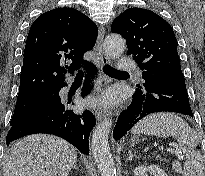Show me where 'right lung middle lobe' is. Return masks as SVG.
Segmentation results:
<instances>
[{"mask_svg": "<svg viewBox=\"0 0 205 176\" xmlns=\"http://www.w3.org/2000/svg\"><path fill=\"white\" fill-rule=\"evenodd\" d=\"M57 89L44 90L26 97L17 98L14 115L11 119L10 125L13 126L18 123L37 105L54 95Z\"/></svg>", "mask_w": 205, "mask_h": 176, "instance_id": "1", "label": "right lung middle lobe"}]
</instances>
